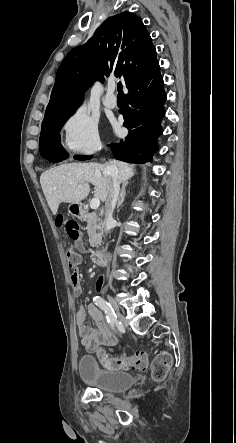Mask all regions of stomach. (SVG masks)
Returning a JSON list of instances; mask_svg holds the SVG:
<instances>
[{"instance_id": "0dacf381", "label": "stomach", "mask_w": 236, "mask_h": 443, "mask_svg": "<svg viewBox=\"0 0 236 443\" xmlns=\"http://www.w3.org/2000/svg\"><path fill=\"white\" fill-rule=\"evenodd\" d=\"M68 212L72 216H78L81 213V205L79 203H72L68 206Z\"/></svg>"}]
</instances>
